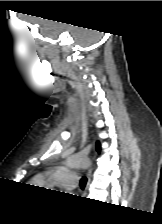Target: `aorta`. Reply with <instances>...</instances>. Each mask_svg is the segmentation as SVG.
Here are the masks:
<instances>
[{"label": "aorta", "mask_w": 162, "mask_h": 224, "mask_svg": "<svg viewBox=\"0 0 162 224\" xmlns=\"http://www.w3.org/2000/svg\"><path fill=\"white\" fill-rule=\"evenodd\" d=\"M65 165L69 168L86 169L91 165V161L88 157L82 154H75L66 159Z\"/></svg>", "instance_id": "762f6f07"}]
</instances>
